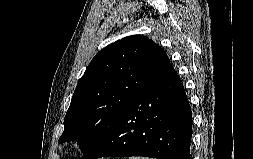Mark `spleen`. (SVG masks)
I'll return each mask as SVG.
<instances>
[{
    "label": "spleen",
    "mask_w": 253,
    "mask_h": 159,
    "mask_svg": "<svg viewBox=\"0 0 253 159\" xmlns=\"http://www.w3.org/2000/svg\"><path fill=\"white\" fill-rule=\"evenodd\" d=\"M129 159H151V158L133 156L130 157Z\"/></svg>",
    "instance_id": "3e777b00"
}]
</instances>
